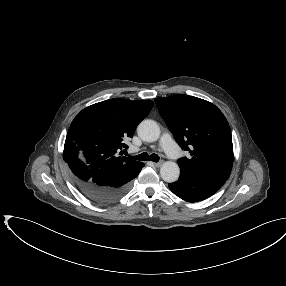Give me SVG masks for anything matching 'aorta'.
<instances>
[{
  "instance_id": "aorta-1",
  "label": "aorta",
  "mask_w": 286,
  "mask_h": 286,
  "mask_svg": "<svg viewBox=\"0 0 286 286\" xmlns=\"http://www.w3.org/2000/svg\"><path fill=\"white\" fill-rule=\"evenodd\" d=\"M139 137L146 142H155L160 137V128L153 120H143L137 128ZM161 178L168 183H173L178 180L180 168L173 161H166L160 168Z\"/></svg>"
}]
</instances>
